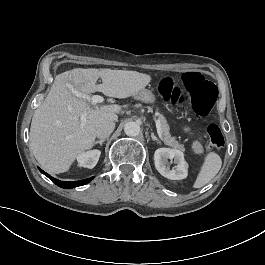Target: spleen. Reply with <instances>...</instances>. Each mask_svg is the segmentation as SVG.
I'll return each instance as SVG.
<instances>
[{"label": "spleen", "mask_w": 265, "mask_h": 265, "mask_svg": "<svg viewBox=\"0 0 265 265\" xmlns=\"http://www.w3.org/2000/svg\"><path fill=\"white\" fill-rule=\"evenodd\" d=\"M222 166V160L220 156L214 152H210L206 155L204 164L200 173L193 185L194 188H201L205 186L210 180H212L219 172Z\"/></svg>", "instance_id": "3e777b00"}]
</instances>
